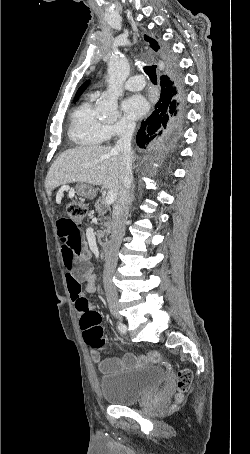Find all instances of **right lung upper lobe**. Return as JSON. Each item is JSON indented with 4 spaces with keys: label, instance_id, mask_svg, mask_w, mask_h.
Masks as SVG:
<instances>
[{
    "label": "right lung upper lobe",
    "instance_id": "cb5924a9",
    "mask_svg": "<svg viewBox=\"0 0 250 454\" xmlns=\"http://www.w3.org/2000/svg\"><path fill=\"white\" fill-rule=\"evenodd\" d=\"M144 38L146 41H148L150 43V47L154 51L159 52L161 59L165 62L166 69L170 70L172 67V62L170 60L169 53H167L162 46L160 47L156 40H154L146 35L144 36Z\"/></svg>",
    "mask_w": 250,
    "mask_h": 454
}]
</instances>
